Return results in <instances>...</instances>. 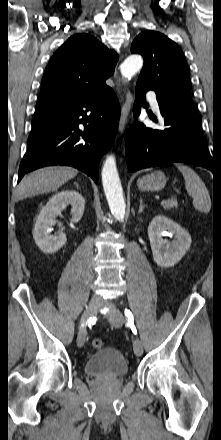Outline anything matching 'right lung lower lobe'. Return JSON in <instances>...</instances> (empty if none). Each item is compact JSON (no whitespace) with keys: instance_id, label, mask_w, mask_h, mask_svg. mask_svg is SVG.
Returning a JSON list of instances; mask_svg holds the SVG:
<instances>
[{"instance_id":"right-lung-lower-lobe-1","label":"right lung lower lobe","mask_w":221,"mask_h":440,"mask_svg":"<svg viewBox=\"0 0 221 440\" xmlns=\"http://www.w3.org/2000/svg\"><path fill=\"white\" fill-rule=\"evenodd\" d=\"M119 117V102L111 88L97 95L36 105L18 182L38 168L68 165L97 183L98 165L113 144Z\"/></svg>"}]
</instances>
